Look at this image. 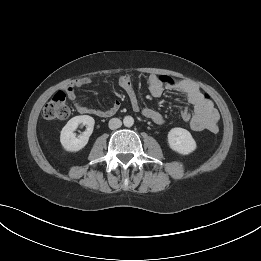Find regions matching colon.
Instances as JSON below:
<instances>
[{
  "mask_svg": "<svg viewBox=\"0 0 261 261\" xmlns=\"http://www.w3.org/2000/svg\"><path fill=\"white\" fill-rule=\"evenodd\" d=\"M42 115L48 120H63L70 115V109L66 103V97L63 92L56 93L53 98L45 105ZM184 121H189V114H183Z\"/></svg>",
  "mask_w": 261,
  "mask_h": 261,
  "instance_id": "obj_1",
  "label": "colon"
}]
</instances>
